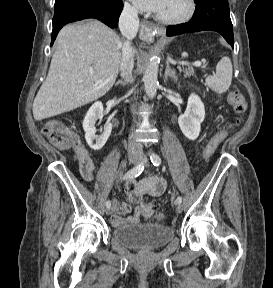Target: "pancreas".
Returning a JSON list of instances; mask_svg holds the SVG:
<instances>
[{"mask_svg":"<svg viewBox=\"0 0 273 288\" xmlns=\"http://www.w3.org/2000/svg\"><path fill=\"white\" fill-rule=\"evenodd\" d=\"M180 71L184 72L185 77H190L191 75H194V70L191 67L185 68L183 70L180 69Z\"/></svg>","mask_w":273,"mask_h":288,"instance_id":"cf45deb5","label":"pancreas"}]
</instances>
